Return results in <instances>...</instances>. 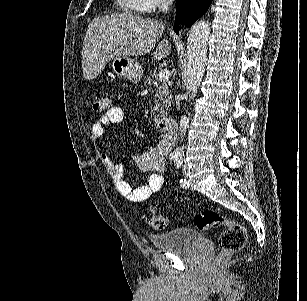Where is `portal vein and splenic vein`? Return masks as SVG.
<instances>
[{
	"label": "portal vein and splenic vein",
	"instance_id": "1",
	"mask_svg": "<svg viewBox=\"0 0 307 301\" xmlns=\"http://www.w3.org/2000/svg\"><path fill=\"white\" fill-rule=\"evenodd\" d=\"M171 72L169 68H161L159 72V80H169Z\"/></svg>",
	"mask_w": 307,
	"mask_h": 301
}]
</instances>
